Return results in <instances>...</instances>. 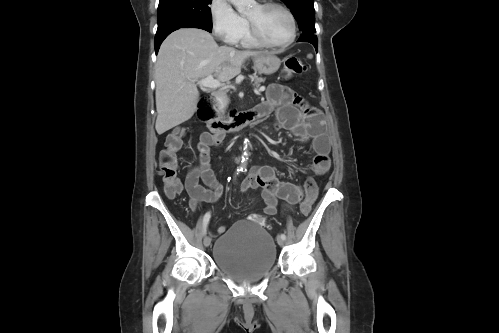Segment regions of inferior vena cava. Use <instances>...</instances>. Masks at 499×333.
<instances>
[{"instance_id": "obj_1", "label": "inferior vena cava", "mask_w": 499, "mask_h": 333, "mask_svg": "<svg viewBox=\"0 0 499 333\" xmlns=\"http://www.w3.org/2000/svg\"><path fill=\"white\" fill-rule=\"evenodd\" d=\"M228 103V98L225 94L219 95L215 99V106L219 112H223Z\"/></svg>"}]
</instances>
